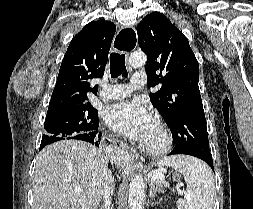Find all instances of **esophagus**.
<instances>
[{"instance_id":"1","label":"esophagus","mask_w":253,"mask_h":209,"mask_svg":"<svg viewBox=\"0 0 253 209\" xmlns=\"http://www.w3.org/2000/svg\"><path fill=\"white\" fill-rule=\"evenodd\" d=\"M112 46L119 51H122L128 57L129 54L137 46V33L134 26H125L121 28L116 34ZM121 49H119V48ZM120 152L128 153V162H133L135 160V154L124 142H120L118 146Z\"/></svg>"}]
</instances>
